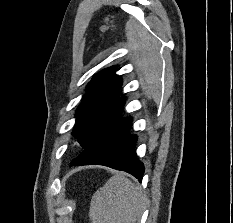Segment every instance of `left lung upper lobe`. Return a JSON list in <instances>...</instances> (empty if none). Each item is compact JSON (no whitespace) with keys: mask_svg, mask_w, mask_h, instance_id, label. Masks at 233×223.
<instances>
[{"mask_svg":"<svg viewBox=\"0 0 233 223\" xmlns=\"http://www.w3.org/2000/svg\"><path fill=\"white\" fill-rule=\"evenodd\" d=\"M115 70V66L104 69L92 78L76 110L78 118L72 134L83 148L95 139L125 104L117 97L122 79L115 75Z\"/></svg>","mask_w":233,"mask_h":223,"instance_id":"obj_1","label":"left lung upper lobe"}]
</instances>
